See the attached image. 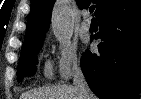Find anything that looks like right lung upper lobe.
<instances>
[{"instance_id":"right-lung-upper-lobe-1","label":"right lung upper lobe","mask_w":141,"mask_h":99,"mask_svg":"<svg viewBox=\"0 0 141 99\" xmlns=\"http://www.w3.org/2000/svg\"><path fill=\"white\" fill-rule=\"evenodd\" d=\"M96 6L95 15L104 11L111 0H92ZM80 9L87 6V0H76ZM54 0H32L31 11L28 16L25 44L39 41L45 38V33L49 29Z\"/></svg>"}]
</instances>
